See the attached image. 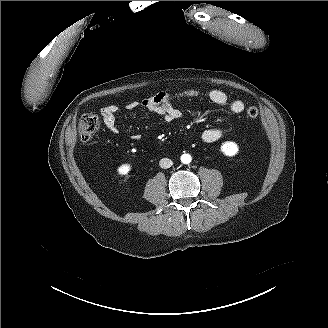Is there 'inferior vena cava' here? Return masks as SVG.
Returning <instances> with one entry per match:
<instances>
[{
    "mask_svg": "<svg viewBox=\"0 0 328 328\" xmlns=\"http://www.w3.org/2000/svg\"><path fill=\"white\" fill-rule=\"evenodd\" d=\"M159 164H160L161 168L167 169V168H170L172 166L173 162L169 158H163V159L160 160Z\"/></svg>",
    "mask_w": 328,
    "mask_h": 328,
    "instance_id": "1",
    "label": "inferior vena cava"
}]
</instances>
